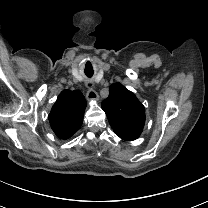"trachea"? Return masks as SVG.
Masks as SVG:
<instances>
[{
	"label": "trachea",
	"instance_id": "trachea-1",
	"mask_svg": "<svg viewBox=\"0 0 208 208\" xmlns=\"http://www.w3.org/2000/svg\"><path fill=\"white\" fill-rule=\"evenodd\" d=\"M88 87L91 89L92 88V84L91 83H88Z\"/></svg>",
	"mask_w": 208,
	"mask_h": 208
}]
</instances>
